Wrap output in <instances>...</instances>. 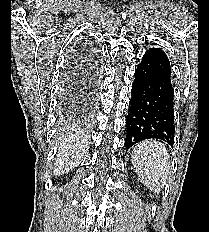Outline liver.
<instances>
[{"label": "liver", "mask_w": 209, "mask_h": 232, "mask_svg": "<svg viewBox=\"0 0 209 232\" xmlns=\"http://www.w3.org/2000/svg\"><path fill=\"white\" fill-rule=\"evenodd\" d=\"M86 150L87 140L81 136L71 134L64 137L58 147L54 175H63L77 167L84 158Z\"/></svg>", "instance_id": "6515ba94"}]
</instances>
